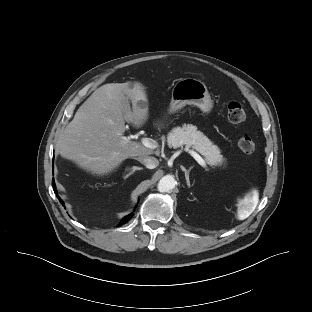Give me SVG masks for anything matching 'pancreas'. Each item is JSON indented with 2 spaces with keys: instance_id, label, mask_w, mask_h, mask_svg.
Instances as JSON below:
<instances>
[{
  "instance_id": "1",
  "label": "pancreas",
  "mask_w": 312,
  "mask_h": 312,
  "mask_svg": "<svg viewBox=\"0 0 312 312\" xmlns=\"http://www.w3.org/2000/svg\"><path fill=\"white\" fill-rule=\"evenodd\" d=\"M167 142L173 148H179L185 145L187 148L191 147L195 149L213 167H220L226 164V159L221 155L220 149L202 132L198 131L196 126L184 125L182 128H174L168 134Z\"/></svg>"
}]
</instances>
